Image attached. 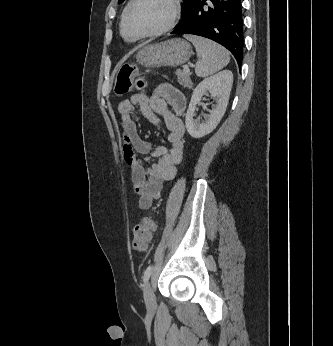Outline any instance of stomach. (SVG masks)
Masks as SVG:
<instances>
[{
    "label": "stomach",
    "instance_id": "0dacf381",
    "mask_svg": "<svg viewBox=\"0 0 333 346\" xmlns=\"http://www.w3.org/2000/svg\"><path fill=\"white\" fill-rule=\"evenodd\" d=\"M192 46L176 38L143 47L136 55L137 62L148 68L176 67L186 63L192 55Z\"/></svg>",
    "mask_w": 333,
    "mask_h": 346
}]
</instances>
